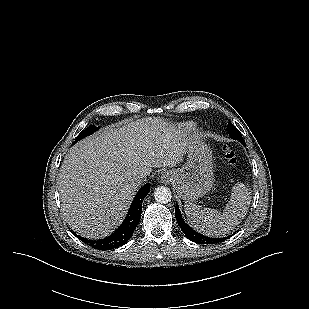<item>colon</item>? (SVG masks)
<instances>
[{"label": "colon", "mask_w": 309, "mask_h": 309, "mask_svg": "<svg viewBox=\"0 0 309 309\" xmlns=\"http://www.w3.org/2000/svg\"><path fill=\"white\" fill-rule=\"evenodd\" d=\"M224 155H225V159H226L228 166H229V172L235 173L236 172L237 159H236V155H235L234 151L231 150L229 147L225 146L224 147Z\"/></svg>", "instance_id": "5ec220e1"}]
</instances>
